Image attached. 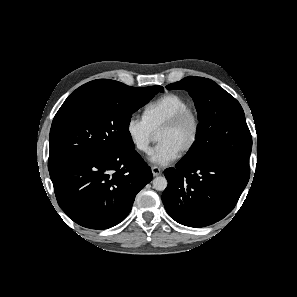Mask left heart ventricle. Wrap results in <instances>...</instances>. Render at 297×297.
<instances>
[{"label": "left heart ventricle", "instance_id": "1", "mask_svg": "<svg viewBox=\"0 0 297 297\" xmlns=\"http://www.w3.org/2000/svg\"><path fill=\"white\" fill-rule=\"evenodd\" d=\"M192 131V121L186 120L179 127L173 130L162 131L158 133L157 141L159 143L166 142L180 152L190 140Z\"/></svg>", "mask_w": 297, "mask_h": 297}]
</instances>
